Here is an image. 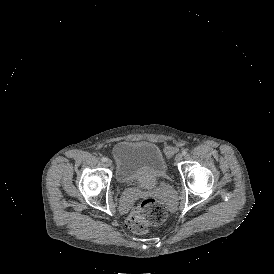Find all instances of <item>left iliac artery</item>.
I'll return each instance as SVG.
<instances>
[{"label": "left iliac artery", "instance_id": "left-iliac-artery-1", "mask_svg": "<svg viewBox=\"0 0 274 274\" xmlns=\"http://www.w3.org/2000/svg\"><path fill=\"white\" fill-rule=\"evenodd\" d=\"M182 155L186 156L187 155V150H183Z\"/></svg>", "mask_w": 274, "mask_h": 274}]
</instances>
